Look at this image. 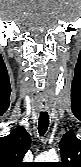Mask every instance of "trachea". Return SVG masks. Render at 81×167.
Segmentation results:
<instances>
[{
    "label": "trachea",
    "instance_id": "3493384b",
    "mask_svg": "<svg viewBox=\"0 0 81 167\" xmlns=\"http://www.w3.org/2000/svg\"><path fill=\"white\" fill-rule=\"evenodd\" d=\"M49 125V116L47 112H41L39 117L38 131L40 136H43Z\"/></svg>",
    "mask_w": 81,
    "mask_h": 167
}]
</instances>
